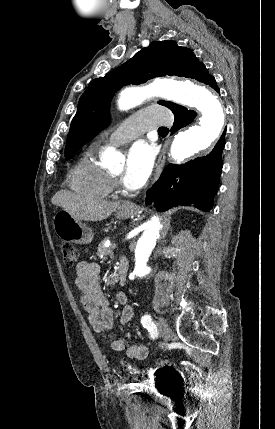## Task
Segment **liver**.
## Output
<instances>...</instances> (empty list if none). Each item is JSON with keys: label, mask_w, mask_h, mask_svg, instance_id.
I'll use <instances>...</instances> for the list:
<instances>
[{"label": "liver", "mask_w": 275, "mask_h": 429, "mask_svg": "<svg viewBox=\"0 0 275 429\" xmlns=\"http://www.w3.org/2000/svg\"><path fill=\"white\" fill-rule=\"evenodd\" d=\"M51 202L62 207L79 221H102L108 218L120 204L119 202L81 197L68 190H60L55 193Z\"/></svg>", "instance_id": "liver-1"}]
</instances>
